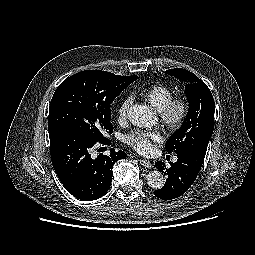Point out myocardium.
<instances>
[{"mask_svg":"<svg viewBox=\"0 0 255 255\" xmlns=\"http://www.w3.org/2000/svg\"><path fill=\"white\" fill-rule=\"evenodd\" d=\"M189 112L190 104L184 97L172 98L159 111L162 124L170 131L179 130L185 124Z\"/></svg>","mask_w":255,"mask_h":255,"instance_id":"f54148a6","label":"myocardium"}]
</instances>
